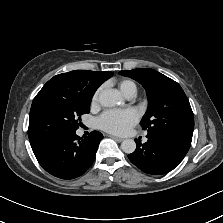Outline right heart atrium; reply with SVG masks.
Returning a JSON list of instances; mask_svg holds the SVG:
<instances>
[{"label": "right heart atrium", "mask_w": 223, "mask_h": 223, "mask_svg": "<svg viewBox=\"0 0 223 223\" xmlns=\"http://www.w3.org/2000/svg\"><path fill=\"white\" fill-rule=\"evenodd\" d=\"M99 89L97 90V91H95V93L93 94V96H92V102L94 103V102H96L97 101V99H98V96H99Z\"/></svg>", "instance_id": "d8ad5b80"}]
</instances>
